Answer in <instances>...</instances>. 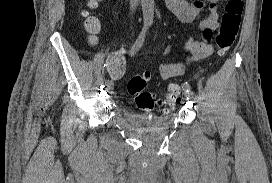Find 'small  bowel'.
Returning a JSON list of instances; mask_svg holds the SVG:
<instances>
[{
  "label": "small bowel",
  "mask_w": 272,
  "mask_h": 183,
  "mask_svg": "<svg viewBox=\"0 0 272 183\" xmlns=\"http://www.w3.org/2000/svg\"><path fill=\"white\" fill-rule=\"evenodd\" d=\"M222 0H167L169 10L183 23H193L200 12L209 5L210 13L203 19L199 26L203 40L191 39L182 45L191 51L190 61H202L213 53L212 38L217 35L219 14L216 4ZM174 44L169 45L170 50ZM184 65L178 63H164L159 67V73L163 80H170L183 73ZM108 71L112 78L119 79L125 71V60L121 51L112 54L108 59ZM174 86H171L173 88Z\"/></svg>",
  "instance_id": "small-bowel-1"
}]
</instances>
